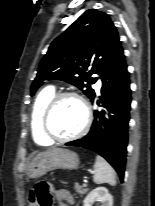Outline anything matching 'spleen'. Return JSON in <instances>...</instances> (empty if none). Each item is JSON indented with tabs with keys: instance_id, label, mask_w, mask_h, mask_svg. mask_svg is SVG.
<instances>
[{
	"instance_id": "1",
	"label": "spleen",
	"mask_w": 155,
	"mask_h": 206,
	"mask_svg": "<svg viewBox=\"0 0 155 206\" xmlns=\"http://www.w3.org/2000/svg\"><path fill=\"white\" fill-rule=\"evenodd\" d=\"M96 184L108 183L111 186L116 185V174L110 164L101 156L96 157L94 164V177Z\"/></svg>"
}]
</instances>
